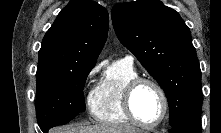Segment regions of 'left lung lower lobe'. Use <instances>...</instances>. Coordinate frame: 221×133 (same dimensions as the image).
I'll use <instances>...</instances> for the list:
<instances>
[{
    "instance_id": "0a47b994",
    "label": "left lung lower lobe",
    "mask_w": 221,
    "mask_h": 133,
    "mask_svg": "<svg viewBox=\"0 0 221 133\" xmlns=\"http://www.w3.org/2000/svg\"><path fill=\"white\" fill-rule=\"evenodd\" d=\"M200 117L190 118L172 127L171 133H201Z\"/></svg>"
}]
</instances>
